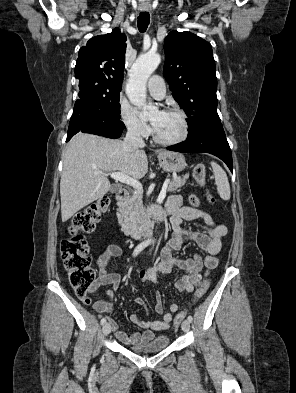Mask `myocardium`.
<instances>
[{
  "label": "myocardium",
  "instance_id": "obj_1",
  "mask_svg": "<svg viewBox=\"0 0 296 393\" xmlns=\"http://www.w3.org/2000/svg\"><path fill=\"white\" fill-rule=\"evenodd\" d=\"M164 112L174 113V114L179 115V117L181 118V121H182V126H183L182 133L176 139L165 140V139L160 138L157 135L155 128L153 126L152 127V136H153L154 141L157 142L158 144L165 145V146L177 145V144L184 142L187 139V137L189 135V131H190V125H189V121H188V117H187L186 113L179 108H168Z\"/></svg>",
  "mask_w": 296,
  "mask_h": 393
}]
</instances>
